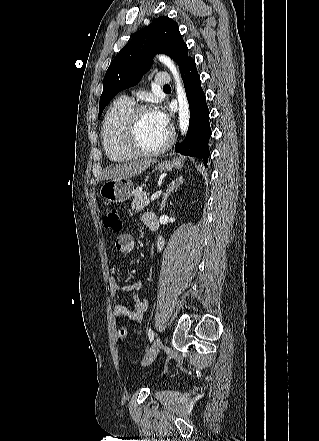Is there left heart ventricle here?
Wrapping results in <instances>:
<instances>
[{"label":"left heart ventricle","mask_w":319,"mask_h":441,"mask_svg":"<svg viewBox=\"0 0 319 441\" xmlns=\"http://www.w3.org/2000/svg\"><path fill=\"white\" fill-rule=\"evenodd\" d=\"M168 134V128L162 126L155 118L153 112L142 114L137 138L140 145L148 150L156 149L163 144Z\"/></svg>","instance_id":"b2bd125f"}]
</instances>
